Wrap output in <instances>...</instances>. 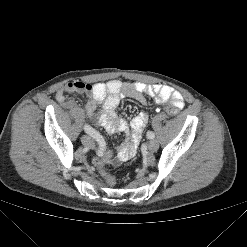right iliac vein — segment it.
Masks as SVG:
<instances>
[{
    "instance_id": "63e3f726",
    "label": "right iliac vein",
    "mask_w": 247,
    "mask_h": 247,
    "mask_svg": "<svg viewBox=\"0 0 247 247\" xmlns=\"http://www.w3.org/2000/svg\"><path fill=\"white\" fill-rule=\"evenodd\" d=\"M81 142L84 146H94V141L89 135H83L81 137Z\"/></svg>"
}]
</instances>
